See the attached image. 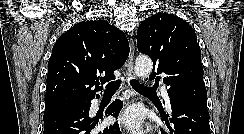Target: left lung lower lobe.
I'll use <instances>...</instances> for the list:
<instances>
[{"label": "left lung lower lobe", "mask_w": 244, "mask_h": 134, "mask_svg": "<svg viewBox=\"0 0 244 134\" xmlns=\"http://www.w3.org/2000/svg\"><path fill=\"white\" fill-rule=\"evenodd\" d=\"M170 104L172 118L170 121L166 117L163 119L171 134H211L207 107L179 100H170Z\"/></svg>", "instance_id": "obj_1"}]
</instances>
